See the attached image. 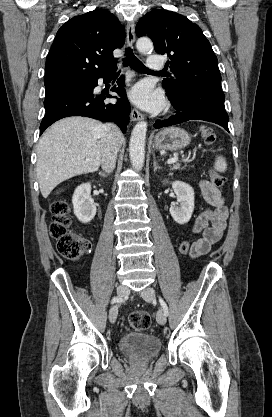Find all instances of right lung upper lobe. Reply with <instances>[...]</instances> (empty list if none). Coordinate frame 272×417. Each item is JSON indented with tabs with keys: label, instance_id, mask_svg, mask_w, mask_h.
<instances>
[{
	"label": "right lung upper lobe",
	"instance_id": "right-lung-upper-lobe-1",
	"mask_svg": "<svg viewBox=\"0 0 272 417\" xmlns=\"http://www.w3.org/2000/svg\"><path fill=\"white\" fill-rule=\"evenodd\" d=\"M125 37L124 27L107 10L73 17L58 30L48 53L45 88L80 84L114 69L113 50Z\"/></svg>",
	"mask_w": 272,
	"mask_h": 417
}]
</instances>
